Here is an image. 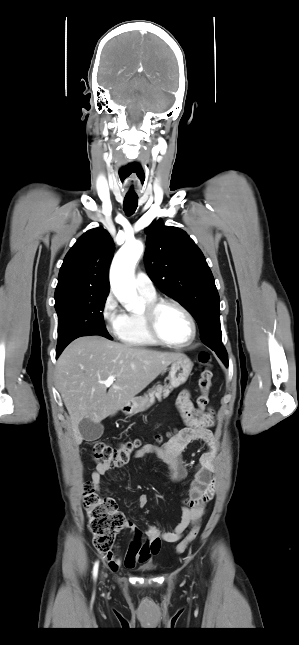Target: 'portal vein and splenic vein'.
<instances>
[{
  "mask_svg": "<svg viewBox=\"0 0 299 645\" xmlns=\"http://www.w3.org/2000/svg\"><path fill=\"white\" fill-rule=\"evenodd\" d=\"M114 381H115V376H113V375H112V376H109V377H108L105 381H103L102 383H103L105 386L109 387V386H111V385L114 383Z\"/></svg>",
  "mask_w": 299,
  "mask_h": 645,
  "instance_id": "18ae733b",
  "label": "portal vein and splenic vein"
}]
</instances>
